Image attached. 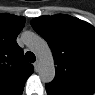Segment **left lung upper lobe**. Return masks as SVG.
I'll use <instances>...</instances> for the list:
<instances>
[{"instance_id":"5c2ea615","label":"left lung upper lobe","mask_w":95,"mask_h":95,"mask_svg":"<svg viewBox=\"0 0 95 95\" xmlns=\"http://www.w3.org/2000/svg\"><path fill=\"white\" fill-rule=\"evenodd\" d=\"M49 44L55 67L52 86H77L95 91V28L68 15L42 16L31 21Z\"/></svg>"}]
</instances>
